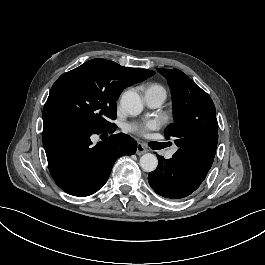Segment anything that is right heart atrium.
<instances>
[{"instance_id": "d8ad5b80", "label": "right heart atrium", "mask_w": 265, "mask_h": 265, "mask_svg": "<svg viewBox=\"0 0 265 265\" xmlns=\"http://www.w3.org/2000/svg\"><path fill=\"white\" fill-rule=\"evenodd\" d=\"M117 115H118L120 118H123V117L126 115V112H125L123 109H120V110L117 112Z\"/></svg>"}]
</instances>
